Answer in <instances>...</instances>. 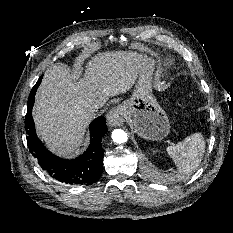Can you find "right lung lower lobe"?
Segmentation results:
<instances>
[{
  "label": "right lung lower lobe",
  "mask_w": 233,
  "mask_h": 233,
  "mask_svg": "<svg viewBox=\"0 0 233 233\" xmlns=\"http://www.w3.org/2000/svg\"><path fill=\"white\" fill-rule=\"evenodd\" d=\"M42 77L38 79L31 90L28 99L27 114L25 116L29 151L37 158L41 168L52 178L71 185H91L99 179L103 168L101 141L107 131L105 118L100 116L90 124V146L83 155L72 160L61 159L53 155L38 139L32 118L35 93L41 83Z\"/></svg>",
  "instance_id": "right-lung-lower-lobe-1"
}]
</instances>
